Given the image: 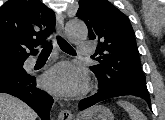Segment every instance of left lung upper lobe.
Instances as JSON below:
<instances>
[{"label": "left lung upper lobe", "instance_id": "left-lung-upper-lobe-1", "mask_svg": "<svg viewBox=\"0 0 165 120\" xmlns=\"http://www.w3.org/2000/svg\"><path fill=\"white\" fill-rule=\"evenodd\" d=\"M76 16L85 21L89 39L98 41L99 64L90 69L99 91L149 95L128 17L108 0H79Z\"/></svg>", "mask_w": 165, "mask_h": 120}]
</instances>
